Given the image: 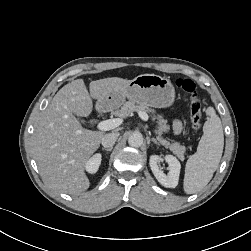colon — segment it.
<instances>
[{"instance_id": "5ec220e1", "label": "colon", "mask_w": 251, "mask_h": 251, "mask_svg": "<svg viewBox=\"0 0 251 251\" xmlns=\"http://www.w3.org/2000/svg\"><path fill=\"white\" fill-rule=\"evenodd\" d=\"M175 83L177 87L190 94L189 114L191 123L194 129H199L201 126L202 108L201 103L195 94V83L190 79L182 78L177 79Z\"/></svg>"}]
</instances>
